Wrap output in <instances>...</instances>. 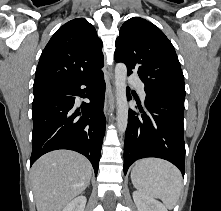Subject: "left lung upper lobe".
I'll list each match as a JSON object with an SVG mask.
<instances>
[{"label": "left lung upper lobe", "instance_id": "left-lung-upper-lobe-1", "mask_svg": "<svg viewBox=\"0 0 221 211\" xmlns=\"http://www.w3.org/2000/svg\"><path fill=\"white\" fill-rule=\"evenodd\" d=\"M115 60L136 71L150 93L185 97L184 76L175 49L164 33L140 17L127 20L116 39Z\"/></svg>", "mask_w": 221, "mask_h": 211}]
</instances>
